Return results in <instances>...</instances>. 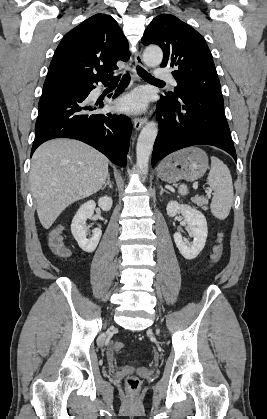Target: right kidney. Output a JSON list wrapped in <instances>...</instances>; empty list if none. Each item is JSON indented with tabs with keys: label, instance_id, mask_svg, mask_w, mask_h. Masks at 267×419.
Returning <instances> with one entry per match:
<instances>
[{
	"label": "right kidney",
	"instance_id": "obj_1",
	"mask_svg": "<svg viewBox=\"0 0 267 419\" xmlns=\"http://www.w3.org/2000/svg\"><path fill=\"white\" fill-rule=\"evenodd\" d=\"M112 204L113 201L110 196H103L98 200V206L103 211H109ZM95 207L96 203L93 200L84 203L76 212L71 224V232L79 247L88 253H91L96 249L102 235L101 229L95 228L92 237L89 239L87 238L86 220L93 216Z\"/></svg>",
	"mask_w": 267,
	"mask_h": 419
}]
</instances>
